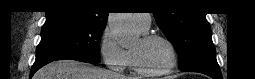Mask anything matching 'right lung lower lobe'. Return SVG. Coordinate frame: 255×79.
<instances>
[{"label":"right lung lower lobe","instance_id":"obj_1","mask_svg":"<svg viewBox=\"0 0 255 79\" xmlns=\"http://www.w3.org/2000/svg\"><path fill=\"white\" fill-rule=\"evenodd\" d=\"M77 60V61H81V62H86V63H92L90 61L87 60H83V59H79V58H75V57H70V56H55V57H47L41 60H35V63L32 66L31 72H30V77H32L34 75V73L41 68L42 66L52 62V61H56V60Z\"/></svg>","mask_w":255,"mask_h":79}]
</instances>
